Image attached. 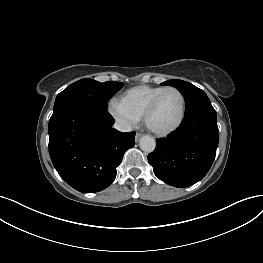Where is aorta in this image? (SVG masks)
<instances>
[{
	"mask_svg": "<svg viewBox=\"0 0 263 263\" xmlns=\"http://www.w3.org/2000/svg\"><path fill=\"white\" fill-rule=\"evenodd\" d=\"M139 146L142 151L151 153L156 147L155 139L149 135H145L140 139Z\"/></svg>",
	"mask_w": 263,
	"mask_h": 263,
	"instance_id": "1",
	"label": "aorta"
}]
</instances>
